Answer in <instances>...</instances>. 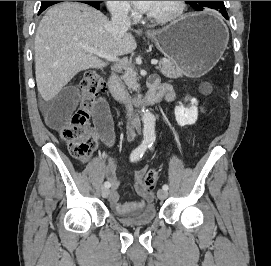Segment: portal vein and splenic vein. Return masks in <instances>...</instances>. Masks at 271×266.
I'll list each match as a JSON object with an SVG mask.
<instances>
[{
  "mask_svg": "<svg viewBox=\"0 0 271 266\" xmlns=\"http://www.w3.org/2000/svg\"><path fill=\"white\" fill-rule=\"evenodd\" d=\"M83 48L88 51L89 53L91 54H95L101 58H105L107 60H110V61H114V62H118L119 59L117 57H113V56H110L108 54H106L105 52L101 51V50H98L97 48H94V47H90V46H87V45H83ZM151 64L152 65H157L158 64V61L153 59L151 60Z\"/></svg>",
  "mask_w": 271,
  "mask_h": 266,
  "instance_id": "1",
  "label": "portal vein and splenic vein"
}]
</instances>
